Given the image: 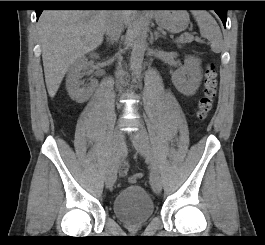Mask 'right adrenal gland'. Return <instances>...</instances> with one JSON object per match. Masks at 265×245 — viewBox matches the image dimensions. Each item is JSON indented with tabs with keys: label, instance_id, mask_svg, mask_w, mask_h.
Instances as JSON below:
<instances>
[{
	"label": "right adrenal gland",
	"instance_id": "1",
	"mask_svg": "<svg viewBox=\"0 0 265 245\" xmlns=\"http://www.w3.org/2000/svg\"><path fill=\"white\" fill-rule=\"evenodd\" d=\"M106 42H107V44H108L109 46H111V45L114 44V41H113V40H110V39H108V38H107Z\"/></svg>",
	"mask_w": 265,
	"mask_h": 245
}]
</instances>
